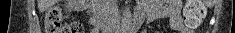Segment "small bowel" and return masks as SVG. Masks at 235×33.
Returning a JSON list of instances; mask_svg holds the SVG:
<instances>
[{"label":"small bowel","mask_w":235,"mask_h":33,"mask_svg":"<svg viewBox=\"0 0 235 33\" xmlns=\"http://www.w3.org/2000/svg\"><path fill=\"white\" fill-rule=\"evenodd\" d=\"M180 0H145L136 8V14L142 15L148 23L158 19H168L173 32L194 33L181 17Z\"/></svg>","instance_id":"1"}]
</instances>
